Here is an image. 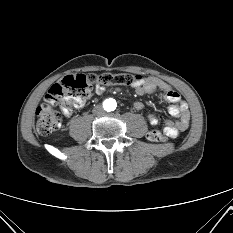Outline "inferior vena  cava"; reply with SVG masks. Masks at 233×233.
<instances>
[{"instance_id": "obj_1", "label": "inferior vena cava", "mask_w": 233, "mask_h": 233, "mask_svg": "<svg viewBox=\"0 0 233 233\" xmlns=\"http://www.w3.org/2000/svg\"><path fill=\"white\" fill-rule=\"evenodd\" d=\"M103 112H104V109H103V107L101 105H97L93 109V114L94 115H101V114H103Z\"/></svg>"}]
</instances>
